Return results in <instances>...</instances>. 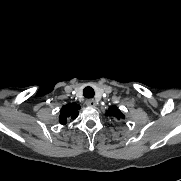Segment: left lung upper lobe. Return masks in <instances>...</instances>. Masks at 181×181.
Segmentation results:
<instances>
[{
    "label": "left lung upper lobe",
    "mask_w": 181,
    "mask_h": 181,
    "mask_svg": "<svg viewBox=\"0 0 181 181\" xmlns=\"http://www.w3.org/2000/svg\"><path fill=\"white\" fill-rule=\"evenodd\" d=\"M107 114L109 116L114 117L117 120L125 118L124 114L116 106H110L108 111H107Z\"/></svg>",
    "instance_id": "5c2ea615"
}]
</instances>
